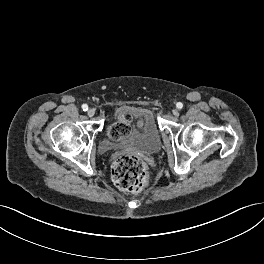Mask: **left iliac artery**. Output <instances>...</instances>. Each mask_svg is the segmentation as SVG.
I'll use <instances>...</instances> for the list:
<instances>
[{"mask_svg":"<svg viewBox=\"0 0 264 264\" xmlns=\"http://www.w3.org/2000/svg\"><path fill=\"white\" fill-rule=\"evenodd\" d=\"M176 107H177L178 109H182V108H183V104H182L181 102H178V103L176 104Z\"/></svg>","mask_w":264,"mask_h":264,"instance_id":"44dca946","label":"left iliac artery"}]
</instances>
